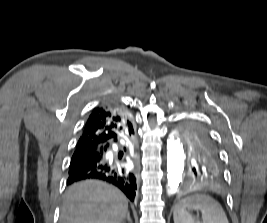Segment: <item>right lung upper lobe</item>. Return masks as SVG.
<instances>
[{
	"instance_id": "cb5924a9",
	"label": "right lung upper lobe",
	"mask_w": 267,
	"mask_h": 223,
	"mask_svg": "<svg viewBox=\"0 0 267 223\" xmlns=\"http://www.w3.org/2000/svg\"><path fill=\"white\" fill-rule=\"evenodd\" d=\"M133 127L129 110L116 103L95 107L89 115L76 150H94L101 145L125 138Z\"/></svg>"
}]
</instances>
